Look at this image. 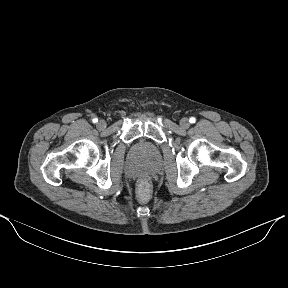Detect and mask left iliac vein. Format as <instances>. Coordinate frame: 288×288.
<instances>
[{"label":"left iliac vein","mask_w":288,"mask_h":288,"mask_svg":"<svg viewBox=\"0 0 288 288\" xmlns=\"http://www.w3.org/2000/svg\"><path fill=\"white\" fill-rule=\"evenodd\" d=\"M189 120L187 118H182L180 120V126L184 129L188 128L189 127Z\"/></svg>","instance_id":"1"}]
</instances>
